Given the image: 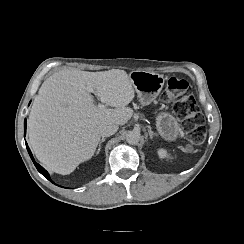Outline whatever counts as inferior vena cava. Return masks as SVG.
Here are the masks:
<instances>
[{"label":"inferior vena cava","mask_w":244,"mask_h":244,"mask_svg":"<svg viewBox=\"0 0 244 244\" xmlns=\"http://www.w3.org/2000/svg\"><path fill=\"white\" fill-rule=\"evenodd\" d=\"M117 130L118 124L116 122H108L100 127V133L105 137L115 134Z\"/></svg>","instance_id":"1"}]
</instances>
